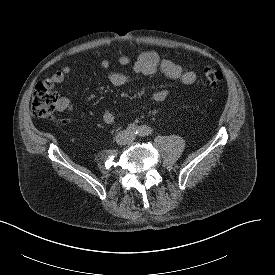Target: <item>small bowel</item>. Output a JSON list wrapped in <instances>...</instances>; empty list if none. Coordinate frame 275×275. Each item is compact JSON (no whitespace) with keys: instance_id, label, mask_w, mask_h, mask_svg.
I'll return each mask as SVG.
<instances>
[{"instance_id":"1","label":"small bowel","mask_w":275,"mask_h":275,"mask_svg":"<svg viewBox=\"0 0 275 275\" xmlns=\"http://www.w3.org/2000/svg\"><path fill=\"white\" fill-rule=\"evenodd\" d=\"M118 64L121 66H127L132 64L133 72L144 76L154 75L161 73L167 78L179 80L184 85H192L196 81V74L179 64H176L170 60L162 59L157 53L153 51H146L141 53L132 62L128 56H120L118 58ZM101 67L104 70L110 68V62L107 59L101 61ZM73 74L72 68L69 66L55 72L51 77L46 80V84L49 87H53L71 77ZM108 80L114 86H124L130 83L131 76L122 72H109ZM169 95V90L166 88H160L153 92L151 98L154 101L160 102L165 100ZM59 111H71L72 105L67 98H60L57 108ZM103 121L111 125L115 122V116L110 110H104L102 113Z\"/></svg>"}]
</instances>
